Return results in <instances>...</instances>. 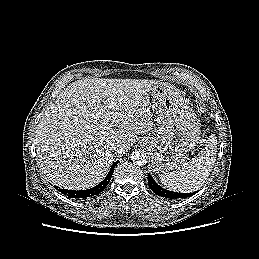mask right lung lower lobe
I'll list each match as a JSON object with an SVG mask.
<instances>
[{"label":"right lung lower lobe","mask_w":259,"mask_h":259,"mask_svg":"<svg viewBox=\"0 0 259 259\" xmlns=\"http://www.w3.org/2000/svg\"><path fill=\"white\" fill-rule=\"evenodd\" d=\"M118 162L119 161H116L115 163H113V165L111 166V169H110L108 175L105 177V179L100 184H98L97 186H95L91 189L75 191V190L60 189L58 187H55V188L70 198H86V197H91V196L97 195L100 192H102L105 189V187L108 185V183L112 177L114 168Z\"/></svg>","instance_id":"right-lung-lower-lobe-1"}]
</instances>
